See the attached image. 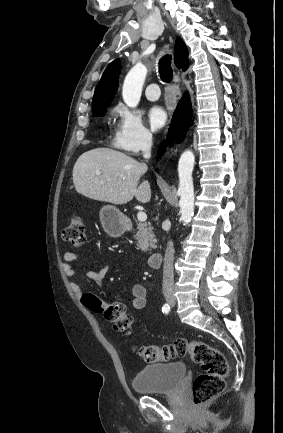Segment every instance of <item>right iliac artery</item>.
<instances>
[{"instance_id":"1","label":"right iliac artery","mask_w":283,"mask_h":433,"mask_svg":"<svg viewBox=\"0 0 283 433\" xmlns=\"http://www.w3.org/2000/svg\"><path fill=\"white\" fill-rule=\"evenodd\" d=\"M169 311H170V305L167 304V303L164 304L163 307H162V312L165 313V314H168Z\"/></svg>"}]
</instances>
